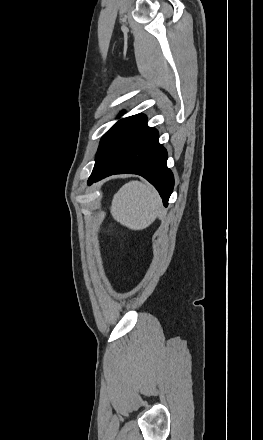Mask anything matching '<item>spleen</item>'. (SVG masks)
Here are the masks:
<instances>
[{"mask_svg": "<svg viewBox=\"0 0 263 440\" xmlns=\"http://www.w3.org/2000/svg\"><path fill=\"white\" fill-rule=\"evenodd\" d=\"M162 208V201L149 184L130 181L113 196L112 217L132 230H142L151 225Z\"/></svg>", "mask_w": 263, "mask_h": 440, "instance_id": "spleen-1", "label": "spleen"}]
</instances>
